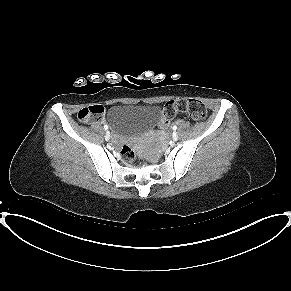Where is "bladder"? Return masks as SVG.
Masks as SVG:
<instances>
[{
	"label": "bladder",
	"instance_id": "obj_1",
	"mask_svg": "<svg viewBox=\"0 0 291 291\" xmlns=\"http://www.w3.org/2000/svg\"><path fill=\"white\" fill-rule=\"evenodd\" d=\"M159 116V107L154 105L116 103L107 112V122L113 133L131 137L153 127Z\"/></svg>",
	"mask_w": 291,
	"mask_h": 291
}]
</instances>
